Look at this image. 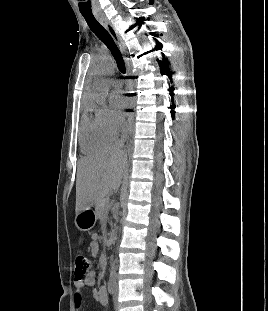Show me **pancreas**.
I'll return each mask as SVG.
<instances>
[{
	"label": "pancreas",
	"mask_w": 268,
	"mask_h": 311,
	"mask_svg": "<svg viewBox=\"0 0 268 311\" xmlns=\"http://www.w3.org/2000/svg\"><path fill=\"white\" fill-rule=\"evenodd\" d=\"M111 208V204L107 199H101L96 202L95 205V215L98 219L101 220L102 226L106 227V219L109 209Z\"/></svg>",
	"instance_id": "obj_1"
}]
</instances>
